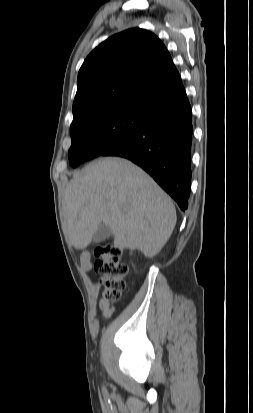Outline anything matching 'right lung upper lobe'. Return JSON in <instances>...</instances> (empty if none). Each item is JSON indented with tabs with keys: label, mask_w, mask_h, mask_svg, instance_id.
Returning a JSON list of instances; mask_svg holds the SVG:
<instances>
[{
	"label": "right lung upper lobe",
	"mask_w": 253,
	"mask_h": 413,
	"mask_svg": "<svg viewBox=\"0 0 253 413\" xmlns=\"http://www.w3.org/2000/svg\"><path fill=\"white\" fill-rule=\"evenodd\" d=\"M186 98L171 56L153 33L133 28L96 47L78 73L73 120L111 107L150 112Z\"/></svg>",
	"instance_id": "obj_1"
}]
</instances>
